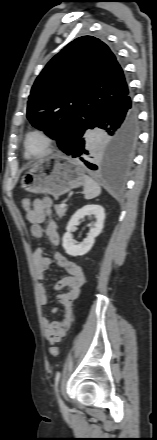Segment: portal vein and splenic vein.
I'll return each instance as SVG.
<instances>
[{
  "instance_id": "obj_1",
  "label": "portal vein and splenic vein",
  "mask_w": 157,
  "mask_h": 440,
  "mask_svg": "<svg viewBox=\"0 0 157 440\" xmlns=\"http://www.w3.org/2000/svg\"><path fill=\"white\" fill-rule=\"evenodd\" d=\"M62 206H63V207H65V206H66V204H62Z\"/></svg>"
}]
</instances>
